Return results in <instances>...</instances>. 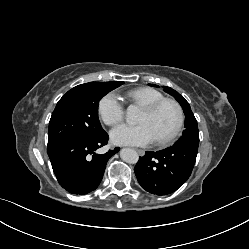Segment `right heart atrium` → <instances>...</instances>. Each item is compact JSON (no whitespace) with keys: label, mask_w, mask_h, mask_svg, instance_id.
<instances>
[{"label":"right heart atrium","mask_w":249,"mask_h":249,"mask_svg":"<svg viewBox=\"0 0 249 249\" xmlns=\"http://www.w3.org/2000/svg\"><path fill=\"white\" fill-rule=\"evenodd\" d=\"M100 119L108 126H115L124 118V106L119 97L111 92L101 98L98 104Z\"/></svg>","instance_id":"right-heart-atrium-1"}]
</instances>
